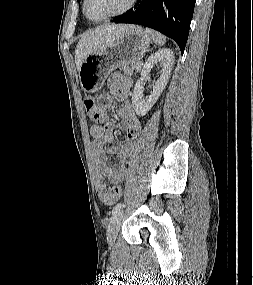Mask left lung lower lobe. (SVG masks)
I'll use <instances>...</instances> for the list:
<instances>
[{
    "label": "left lung lower lobe",
    "mask_w": 253,
    "mask_h": 285,
    "mask_svg": "<svg viewBox=\"0 0 253 285\" xmlns=\"http://www.w3.org/2000/svg\"><path fill=\"white\" fill-rule=\"evenodd\" d=\"M196 0H140L112 21L140 24L172 38L183 54Z\"/></svg>",
    "instance_id": "1"
}]
</instances>
